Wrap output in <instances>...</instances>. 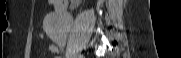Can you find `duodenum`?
<instances>
[{"label": "duodenum", "instance_id": "1", "mask_svg": "<svg viewBox=\"0 0 181 58\" xmlns=\"http://www.w3.org/2000/svg\"><path fill=\"white\" fill-rule=\"evenodd\" d=\"M74 4L78 2V0L72 1ZM68 4L67 0H55L54 5L58 10H64Z\"/></svg>", "mask_w": 181, "mask_h": 58}]
</instances>
